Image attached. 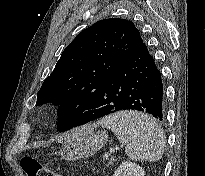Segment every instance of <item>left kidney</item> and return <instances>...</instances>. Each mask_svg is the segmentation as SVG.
<instances>
[{"instance_id": "1", "label": "left kidney", "mask_w": 205, "mask_h": 176, "mask_svg": "<svg viewBox=\"0 0 205 176\" xmlns=\"http://www.w3.org/2000/svg\"><path fill=\"white\" fill-rule=\"evenodd\" d=\"M113 176H145V171L136 163L124 161L116 169Z\"/></svg>"}]
</instances>
